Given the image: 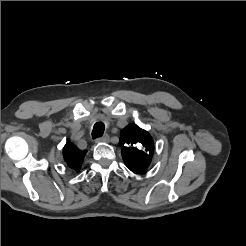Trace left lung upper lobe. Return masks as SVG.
Listing matches in <instances>:
<instances>
[{"instance_id": "left-lung-upper-lobe-1", "label": "left lung upper lobe", "mask_w": 246, "mask_h": 246, "mask_svg": "<svg viewBox=\"0 0 246 246\" xmlns=\"http://www.w3.org/2000/svg\"><path fill=\"white\" fill-rule=\"evenodd\" d=\"M122 157L125 165L134 173H142L151 163L154 152V143L150 134L130 124L120 134Z\"/></svg>"}]
</instances>
